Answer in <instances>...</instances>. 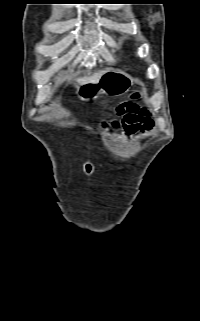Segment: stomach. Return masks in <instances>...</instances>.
I'll return each instance as SVG.
<instances>
[{
    "label": "stomach",
    "mask_w": 200,
    "mask_h": 321,
    "mask_svg": "<svg viewBox=\"0 0 200 321\" xmlns=\"http://www.w3.org/2000/svg\"><path fill=\"white\" fill-rule=\"evenodd\" d=\"M133 84L132 78L120 70H108L97 81L82 84L77 89V96L81 100H89L100 92L108 95L126 93Z\"/></svg>",
    "instance_id": "1"
}]
</instances>
